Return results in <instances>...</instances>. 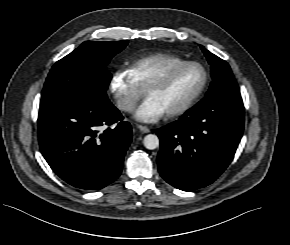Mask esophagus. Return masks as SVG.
Wrapping results in <instances>:
<instances>
[{"label":"esophagus","instance_id":"esophagus-1","mask_svg":"<svg viewBox=\"0 0 290 245\" xmlns=\"http://www.w3.org/2000/svg\"><path fill=\"white\" fill-rule=\"evenodd\" d=\"M138 129L143 133H149L150 129L147 126L144 125H137Z\"/></svg>","mask_w":290,"mask_h":245}]
</instances>
